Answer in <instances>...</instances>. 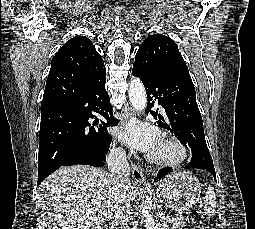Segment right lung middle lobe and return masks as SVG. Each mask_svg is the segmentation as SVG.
Returning a JSON list of instances; mask_svg holds the SVG:
<instances>
[{
  "label": "right lung middle lobe",
  "instance_id": "right-lung-middle-lobe-1",
  "mask_svg": "<svg viewBox=\"0 0 255 229\" xmlns=\"http://www.w3.org/2000/svg\"><path fill=\"white\" fill-rule=\"evenodd\" d=\"M80 127V120L74 115H65L42 122L38 164L51 167L60 163Z\"/></svg>",
  "mask_w": 255,
  "mask_h": 229
}]
</instances>
